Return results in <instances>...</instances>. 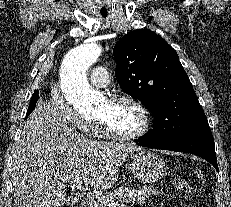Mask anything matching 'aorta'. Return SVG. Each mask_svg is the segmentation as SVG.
I'll use <instances>...</instances> for the list:
<instances>
[{
    "mask_svg": "<svg viewBox=\"0 0 231 207\" xmlns=\"http://www.w3.org/2000/svg\"><path fill=\"white\" fill-rule=\"evenodd\" d=\"M102 52L95 42H86L71 49L60 68V83L65 99L83 113L92 112L104 100L94 90L86 77L87 70L98 60Z\"/></svg>",
    "mask_w": 231,
    "mask_h": 207,
    "instance_id": "762f6f07",
    "label": "aorta"
}]
</instances>
